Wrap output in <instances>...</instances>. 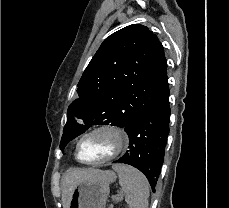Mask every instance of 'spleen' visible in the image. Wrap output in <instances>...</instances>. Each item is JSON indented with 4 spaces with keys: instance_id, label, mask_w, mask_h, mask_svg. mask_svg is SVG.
<instances>
[{
    "instance_id": "3e777b00",
    "label": "spleen",
    "mask_w": 229,
    "mask_h": 208,
    "mask_svg": "<svg viewBox=\"0 0 229 208\" xmlns=\"http://www.w3.org/2000/svg\"><path fill=\"white\" fill-rule=\"evenodd\" d=\"M117 172L119 184L129 208H148L149 184L136 168L125 164H113Z\"/></svg>"
}]
</instances>
